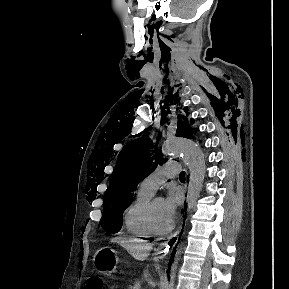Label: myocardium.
<instances>
[{
    "mask_svg": "<svg viewBox=\"0 0 289 289\" xmlns=\"http://www.w3.org/2000/svg\"><path fill=\"white\" fill-rule=\"evenodd\" d=\"M158 198H161V197L152 196L150 200L148 201L147 206H146V211H145V218H146L148 227L153 234L164 235V234L169 233L173 229L174 223L171 221L170 224L166 227H159L156 224V221L153 215V204Z\"/></svg>",
    "mask_w": 289,
    "mask_h": 289,
    "instance_id": "f54148a6",
    "label": "myocardium"
}]
</instances>
